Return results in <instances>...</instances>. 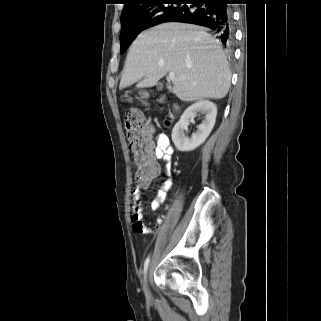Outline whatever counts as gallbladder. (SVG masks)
I'll return each mask as SVG.
<instances>
[{
	"mask_svg": "<svg viewBox=\"0 0 321 321\" xmlns=\"http://www.w3.org/2000/svg\"><path fill=\"white\" fill-rule=\"evenodd\" d=\"M162 88H163V84H162V83H158V84H157V89L160 90V89H162Z\"/></svg>",
	"mask_w": 321,
	"mask_h": 321,
	"instance_id": "1",
	"label": "gallbladder"
}]
</instances>
